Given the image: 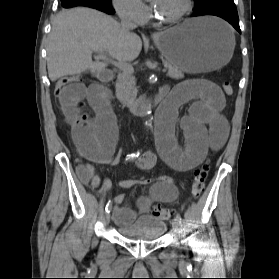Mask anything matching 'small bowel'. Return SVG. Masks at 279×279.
<instances>
[{"label": "small bowel", "mask_w": 279, "mask_h": 279, "mask_svg": "<svg viewBox=\"0 0 279 279\" xmlns=\"http://www.w3.org/2000/svg\"><path fill=\"white\" fill-rule=\"evenodd\" d=\"M58 99L80 155L91 163L117 164L118 124L110 106L109 91L98 84L87 87L75 82L65 86ZM190 101L189 112L180 121L185 140V146L181 148L174 136V124L179 108ZM86 103L96 111L94 119L85 112ZM224 106L222 91L207 80L185 81L167 93L156 114V144L161 159L175 170L188 171L198 166L209 150L221 149L229 133L228 122L222 113ZM156 161L157 154L147 151L136 160V165L149 170ZM91 163L79 165L76 173L83 184L96 189L101 185V178L95 175ZM146 182L152 184L149 193L137 200L139 213H146L154 202L170 203L178 198L173 178L160 176ZM133 185L132 181H119L122 188ZM107 189L108 185L100 194ZM124 199L121 194L112 200L115 221L121 225L133 222L137 216L135 210L120 205Z\"/></svg>", "instance_id": "small-bowel-1"}]
</instances>
